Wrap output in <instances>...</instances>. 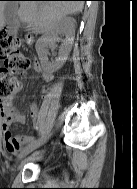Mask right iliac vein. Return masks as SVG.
I'll return each instance as SVG.
<instances>
[{
	"label": "right iliac vein",
	"mask_w": 137,
	"mask_h": 189,
	"mask_svg": "<svg viewBox=\"0 0 137 189\" xmlns=\"http://www.w3.org/2000/svg\"><path fill=\"white\" fill-rule=\"evenodd\" d=\"M50 137V133L47 134L46 136H44L42 139L40 140H36L35 142H33L32 144H30L28 147H26L19 155L18 157V161L17 163L15 164V168L17 167L18 165V162L23 159L25 156H27L29 153H31L32 151L38 149L40 146H42L43 144L46 143V141L49 139Z\"/></svg>",
	"instance_id": "63e3f726"
}]
</instances>
